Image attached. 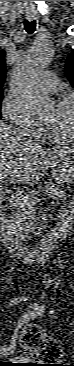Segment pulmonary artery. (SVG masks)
<instances>
[{
  "label": "pulmonary artery",
  "instance_id": "pulmonary-artery-1",
  "mask_svg": "<svg viewBox=\"0 0 74 366\" xmlns=\"http://www.w3.org/2000/svg\"><path fill=\"white\" fill-rule=\"evenodd\" d=\"M58 84L59 82L56 75L47 70L41 74L38 81V88L44 93H49L56 90Z\"/></svg>",
  "mask_w": 74,
  "mask_h": 366
}]
</instances>
